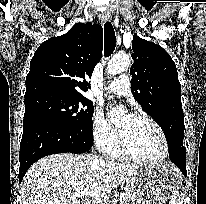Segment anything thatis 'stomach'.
Here are the masks:
<instances>
[{"instance_id":"stomach-1","label":"stomach","mask_w":206,"mask_h":204,"mask_svg":"<svg viewBox=\"0 0 206 204\" xmlns=\"http://www.w3.org/2000/svg\"><path fill=\"white\" fill-rule=\"evenodd\" d=\"M181 174L174 165L159 163L141 166L129 179L135 204H166L181 186Z\"/></svg>"}]
</instances>
